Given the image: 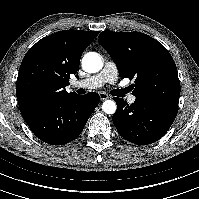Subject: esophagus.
<instances>
[{
    "mask_svg": "<svg viewBox=\"0 0 199 199\" xmlns=\"http://www.w3.org/2000/svg\"><path fill=\"white\" fill-rule=\"evenodd\" d=\"M99 96H100V99H101L102 101L107 100V99L109 98L108 94L105 93V92H100V93H99Z\"/></svg>",
    "mask_w": 199,
    "mask_h": 199,
    "instance_id": "1",
    "label": "esophagus"
}]
</instances>
